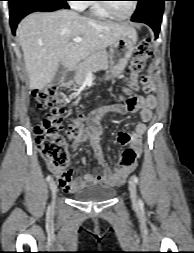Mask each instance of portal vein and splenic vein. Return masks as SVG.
I'll use <instances>...</instances> for the list:
<instances>
[{"mask_svg": "<svg viewBox=\"0 0 194 253\" xmlns=\"http://www.w3.org/2000/svg\"><path fill=\"white\" fill-rule=\"evenodd\" d=\"M82 38L81 37H75L73 38V42H81Z\"/></svg>", "mask_w": 194, "mask_h": 253, "instance_id": "1", "label": "portal vein and splenic vein"}]
</instances>
